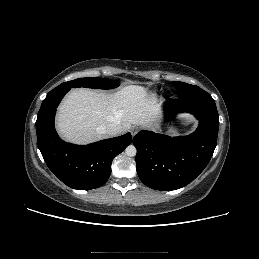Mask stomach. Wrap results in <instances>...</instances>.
<instances>
[{
	"mask_svg": "<svg viewBox=\"0 0 259 259\" xmlns=\"http://www.w3.org/2000/svg\"><path fill=\"white\" fill-rule=\"evenodd\" d=\"M172 133H173V134H176L177 132L174 130Z\"/></svg>",
	"mask_w": 259,
	"mask_h": 259,
	"instance_id": "0dacf381",
	"label": "stomach"
}]
</instances>
